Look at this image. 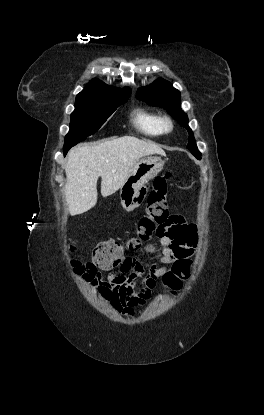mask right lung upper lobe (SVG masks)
Returning a JSON list of instances; mask_svg holds the SVG:
<instances>
[{
	"label": "right lung upper lobe",
	"instance_id": "1",
	"mask_svg": "<svg viewBox=\"0 0 264 415\" xmlns=\"http://www.w3.org/2000/svg\"><path fill=\"white\" fill-rule=\"evenodd\" d=\"M131 90L128 87L124 89H115L99 79H93L89 84L77 95L76 99L93 98V97H122L130 96Z\"/></svg>",
	"mask_w": 264,
	"mask_h": 415
}]
</instances>
